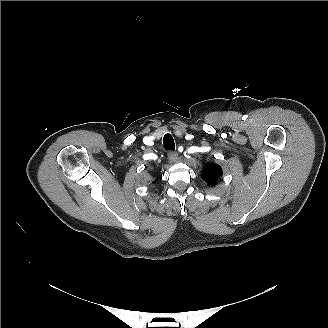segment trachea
<instances>
[{
  "instance_id": "obj_1",
  "label": "trachea",
  "mask_w": 328,
  "mask_h": 328,
  "mask_svg": "<svg viewBox=\"0 0 328 328\" xmlns=\"http://www.w3.org/2000/svg\"><path fill=\"white\" fill-rule=\"evenodd\" d=\"M163 144L166 150H175L174 139L170 134H165L163 137Z\"/></svg>"
}]
</instances>
